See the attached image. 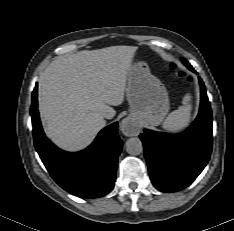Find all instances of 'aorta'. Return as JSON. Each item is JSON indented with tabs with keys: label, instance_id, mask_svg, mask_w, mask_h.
<instances>
[{
	"label": "aorta",
	"instance_id": "762f6f07",
	"mask_svg": "<svg viewBox=\"0 0 234 231\" xmlns=\"http://www.w3.org/2000/svg\"><path fill=\"white\" fill-rule=\"evenodd\" d=\"M126 151L131 155H139L143 151V145L139 138L131 137L125 143Z\"/></svg>",
	"mask_w": 234,
	"mask_h": 231
}]
</instances>
